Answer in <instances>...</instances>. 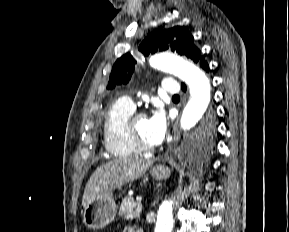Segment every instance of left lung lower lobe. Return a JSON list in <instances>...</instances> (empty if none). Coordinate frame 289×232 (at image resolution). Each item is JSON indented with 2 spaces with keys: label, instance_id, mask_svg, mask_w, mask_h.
Returning <instances> with one entry per match:
<instances>
[{
  "label": "left lung lower lobe",
  "instance_id": "1",
  "mask_svg": "<svg viewBox=\"0 0 289 232\" xmlns=\"http://www.w3.org/2000/svg\"><path fill=\"white\" fill-rule=\"evenodd\" d=\"M199 65L205 72H209V70H210L209 65L203 57L200 58ZM182 88L184 91L186 90V87L184 86V84H182Z\"/></svg>",
  "mask_w": 289,
  "mask_h": 232
}]
</instances>
